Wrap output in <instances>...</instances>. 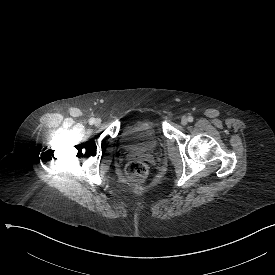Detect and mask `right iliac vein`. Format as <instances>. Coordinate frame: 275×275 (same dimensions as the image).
Instances as JSON below:
<instances>
[{
  "instance_id": "1",
  "label": "right iliac vein",
  "mask_w": 275,
  "mask_h": 275,
  "mask_svg": "<svg viewBox=\"0 0 275 275\" xmlns=\"http://www.w3.org/2000/svg\"><path fill=\"white\" fill-rule=\"evenodd\" d=\"M94 125H95L96 127H99V126L101 125V120H100V119H96V120L94 121Z\"/></svg>"
}]
</instances>
